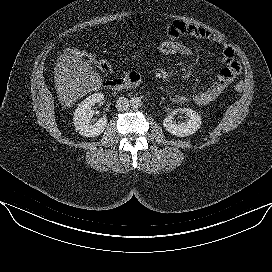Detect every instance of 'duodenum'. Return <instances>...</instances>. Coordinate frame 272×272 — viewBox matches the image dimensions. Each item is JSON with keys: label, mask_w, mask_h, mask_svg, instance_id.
I'll list each match as a JSON object with an SVG mask.
<instances>
[{"label": "duodenum", "mask_w": 272, "mask_h": 272, "mask_svg": "<svg viewBox=\"0 0 272 272\" xmlns=\"http://www.w3.org/2000/svg\"><path fill=\"white\" fill-rule=\"evenodd\" d=\"M140 82L138 74L129 73L125 77L105 81V86L114 91H121L137 85Z\"/></svg>", "instance_id": "410a0bca"}]
</instances>
